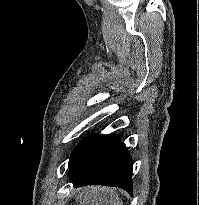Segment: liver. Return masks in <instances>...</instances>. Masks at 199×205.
Returning <instances> with one entry per match:
<instances>
[{"label":"liver","instance_id":"obj_1","mask_svg":"<svg viewBox=\"0 0 199 205\" xmlns=\"http://www.w3.org/2000/svg\"><path fill=\"white\" fill-rule=\"evenodd\" d=\"M94 192H95V191H90L89 194H88V196H92V195L94 194ZM110 194H111V196H112L113 198H115V194L113 193L112 190L110 191ZM94 203H95L96 205H98V203H97L96 201H93V204H91V205H94Z\"/></svg>","mask_w":199,"mask_h":205}]
</instances>
